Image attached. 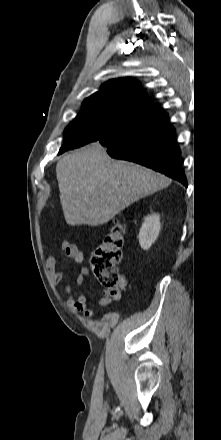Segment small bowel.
<instances>
[{"label": "small bowel", "mask_w": 221, "mask_h": 440, "mask_svg": "<svg viewBox=\"0 0 221 440\" xmlns=\"http://www.w3.org/2000/svg\"><path fill=\"white\" fill-rule=\"evenodd\" d=\"M60 248L66 258L73 260L75 263L79 265L83 263L84 254L75 244L67 240H63L60 243ZM45 266L53 282L58 283L63 279L64 271L57 270L56 259L53 255H47L45 260ZM89 274H90L89 269L85 266H81L80 273L76 278L75 284L77 286H81L82 284H84ZM65 291L68 294V299L66 302L68 308H70L73 312L82 313L87 318H94L96 316L95 311L87 307V297L85 294L80 293L74 299L72 297L71 286L67 285ZM120 297H121L120 292H115L109 289H105L103 291V295L97 300V304L101 307H108L111 306L115 301L119 300Z\"/></svg>", "instance_id": "obj_1"}]
</instances>
